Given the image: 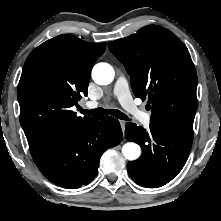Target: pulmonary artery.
Listing matches in <instances>:
<instances>
[{
  "instance_id": "e3ab8cb5",
  "label": "pulmonary artery",
  "mask_w": 221,
  "mask_h": 221,
  "mask_svg": "<svg viewBox=\"0 0 221 221\" xmlns=\"http://www.w3.org/2000/svg\"><path fill=\"white\" fill-rule=\"evenodd\" d=\"M114 95L119 100L120 104L130 112L139 122L143 125H149L151 121L150 114L142 111L133 101L130 91L128 82L125 77L121 76L117 79L114 85ZM86 106L89 109H93L98 106L97 101H89Z\"/></svg>"
}]
</instances>
